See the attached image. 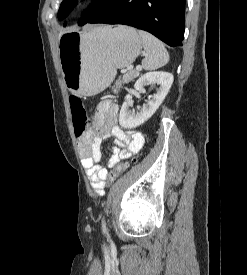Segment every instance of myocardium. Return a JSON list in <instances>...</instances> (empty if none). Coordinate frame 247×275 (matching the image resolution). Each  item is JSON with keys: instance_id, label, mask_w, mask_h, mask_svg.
Instances as JSON below:
<instances>
[{"instance_id": "1", "label": "myocardium", "mask_w": 247, "mask_h": 275, "mask_svg": "<svg viewBox=\"0 0 247 275\" xmlns=\"http://www.w3.org/2000/svg\"><path fill=\"white\" fill-rule=\"evenodd\" d=\"M92 0H79V2L81 3V4H87V3H89V2H91Z\"/></svg>"}]
</instances>
